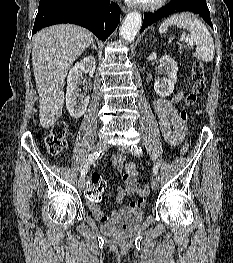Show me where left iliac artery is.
Wrapping results in <instances>:
<instances>
[{
    "label": "left iliac artery",
    "instance_id": "44dca946",
    "mask_svg": "<svg viewBox=\"0 0 233 263\" xmlns=\"http://www.w3.org/2000/svg\"><path fill=\"white\" fill-rule=\"evenodd\" d=\"M131 151L135 155H140L142 153V148L137 146V145H132L131 146ZM152 172H153V175H157V173H158V166L157 165H155L153 167Z\"/></svg>",
    "mask_w": 233,
    "mask_h": 263
}]
</instances>
